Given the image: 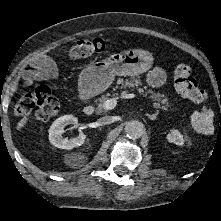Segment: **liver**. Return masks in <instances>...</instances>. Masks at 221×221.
<instances>
[{
    "label": "liver",
    "instance_id": "6515ba94",
    "mask_svg": "<svg viewBox=\"0 0 221 221\" xmlns=\"http://www.w3.org/2000/svg\"><path fill=\"white\" fill-rule=\"evenodd\" d=\"M27 121H28L27 117L22 118L17 124V130L22 129L26 125Z\"/></svg>",
    "mask_w": 221,
    "mask_h": 221
}]
</instances>
